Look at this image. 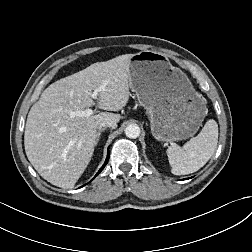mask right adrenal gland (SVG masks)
Wrapping results in <instances>:
<instances>
[{
  "instance_id": "right-adrenal-gland-1",
  "label": "right adrenal gland",
  "mask_w": 252,
  "mask_h": 252,
  "mask_svg": "<svg viewBox=\"0 0 252 252\" xmlns=\"http://www.w3.org/2000/svg\"><path fill=\"white\" fill-rule=\"evenodd\" d=\"M105 129H106V128L99 129V131L97 132V143L99 142L100 137H101V134H102V132H103Z\"/></svg>"
}]
</instances>
